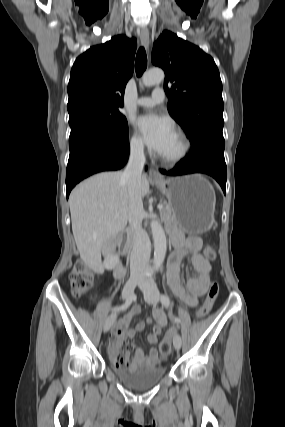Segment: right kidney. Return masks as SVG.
Returning <instances> with one entry per match:
<instances>
[{
	"mask_svg": "<svg viewBox=\"0 0 285 427\" xmlns=\"http://www.w3.org/2000/svg\"><path fill=\"white\" fill-rule=\"evenodd\" d=\"M119 262V257L116 254H108L104 259V267L107 270H112Z\"/></svg>",
	"mask_w": 285,
	"mask_h": 427,
	"instance_id": "1",
	"label": "right kidney"
}]
</instances>
